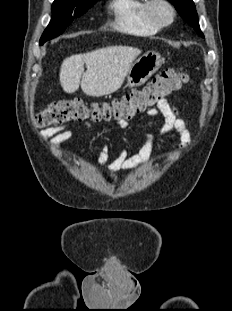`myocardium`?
<instances>
[{
    "mask_svg": "<svg viewBox=\"0 0 232 311\" xmlns=\"http://www.w3.org/2000/svg\"><path fill=\"white\" fill-rule=\"evenodd\" d=\"M147 1L148 2L145 7V13L148 20L153 25H155L158 28H164L170 26L174 22L176 17V11L174 6L168 0H147ZM160 5L166 7L169 11L170 17L167 21H160L155 16V8Z\"/></svg>",
    "mask_w": 232,
    "mask_h": 311,
    "instance_id": "obj_1",
    "label": "myocardium"
}]
</instances>
